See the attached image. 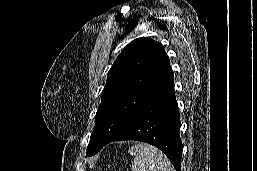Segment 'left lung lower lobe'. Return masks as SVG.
I'll list each match as a JSON object with an SVG mask.
<instances>
[{
  "instance_id": "left-lung-lower-lobe-1",
  "label": "left lung lower lobe",
  "mask_w": 257,
  "mask_h": 171,
  "mask_svg": "<svg viewBox=\"0 0 257 171\" xmlns=\"http://www.w3.org/2000/svg\"><path fill=\"white\" fill-rule=\"evenodd\" d=\"M180 116L175 98L173 71L159 91L142 107L130 123L113 139L86 156L98 153L114 141L137 140L163 151L176 171H181L183 145L180 139Z\"/></svg>"
}]
</instances>
